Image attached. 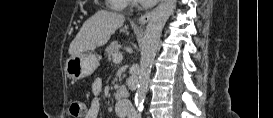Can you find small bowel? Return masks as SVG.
<instances>
[{"instance_id": "1", "label": "small bowel", "mask_w": 273, "mask_h": 118, "mask_svg": "<svg viewBox=\"0 0 273 118\" xmlns=\"http://www.w3.org/2000/svg\"><path fill=\"white\" fill-rule=\"evenodd\" d=\"M102 90L101 80H95L92 84V91L95 95H98ZM100 110V102L98 98H93L90 101L89 108L86 114V118H97ZM116 112L119 117H124L127 113V107L125 105L117 104Z\"/></svg>"}]
</instances>
